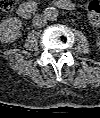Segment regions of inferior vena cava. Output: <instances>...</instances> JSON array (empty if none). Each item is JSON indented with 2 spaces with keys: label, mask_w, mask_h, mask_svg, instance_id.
Wrapping results in <instances>:
<instances>
[{
  "label": "inferior vena cava",
  "mask_w": 100,
  "mask_h": 118,
  "mask_svg": "<svg viewBox=\"0 0 100 118\" xmlns=\"http://www.w3.org/2000/svg\"><path fill=\"white\" fill-rule=\"evenodd\" d=\"M33 25L37 28L44 27L47 23V19L44 15L36 14L32 21Z\"/></svg>",
  "instance_id": "inferior-vena-cava-1"
}]
</instances>
